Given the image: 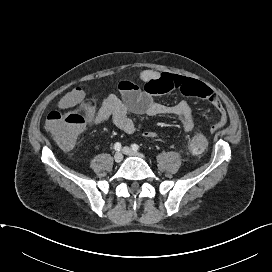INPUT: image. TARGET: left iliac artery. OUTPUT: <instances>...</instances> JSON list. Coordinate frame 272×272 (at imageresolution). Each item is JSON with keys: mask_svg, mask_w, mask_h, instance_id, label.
<instances>
[{"mask_svg": "<svg viewBox=\"0 0 272 272\" xmlns=\"http://www.w3.org/2000/svg\"><path fill=\"white\" fill-rule=\"evenodd\" d=\"M132 149L137 151L139 149V146L137 144H132Z\"/></svg>", "mask_w": 272, "mask_h": 272, "instance_id": "1", "label": "left iliac artery"}]
</instances>
